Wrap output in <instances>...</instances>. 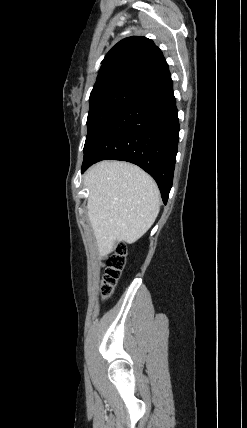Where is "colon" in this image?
Segmentation results:
<instances>
[{
    "mask_svg": "<svg viewBox=\"0 0 247 428\" xmlns=\"http://www.w3.org/2000/svg\"><path fill=\"white\" fill-rule=\"evenodd\" d=\"M127 247L120 244L108 255L106 259V269L102 281V295L107 299L113 293L117 281L126 265Z\"/></svg>",
    "mask_w": 247,
    "mask_h": 428,
    "instance_id": "colon-1",
    "label": "colon"
}]
</instances>
